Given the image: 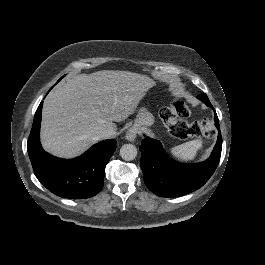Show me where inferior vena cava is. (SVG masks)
<instances>
[{
	"mask_svg": "<svg viewBox=\"0 0 265 265\" xmlns=\"http://www.w3.org/2000/svg\"><path fill=\"white\" fill-rule=\"evenodd\" d=\"M116 134V131L113 127H107L104 131H103V137L104 138H111L114 137V135Z\"/></svg>",
	"mask_w": 265,
	"mask_h": 265,
	"instance_id": "1",
	"label": "inferior vena cava"
}]
</instances>
